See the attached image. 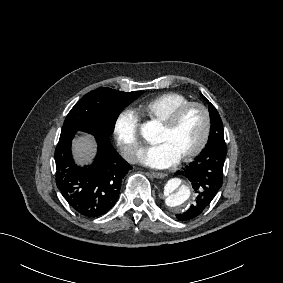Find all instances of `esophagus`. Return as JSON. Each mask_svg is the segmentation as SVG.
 <instances>
[{"label": "esophagus", "mask_w": 283, "mask_h": 283, "mask_svg": "<svg viewBox=\"0 0 283 283\" xmlns=\"http://www.w3.org/2000/svg\"><path fill=\"white\" fill-rule=\"evenodd\" d=\"M151 174L154 176V177H156V178H164V177H166L167 176V174L166 173H163V172H151Z\"/></svg>", "instance_id": "esophagus-1"}]
</instances>
